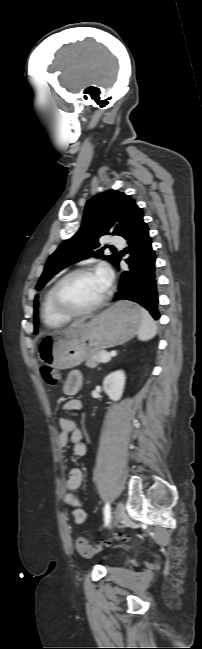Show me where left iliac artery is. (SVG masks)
Masks as SVG:
<instances>
[{"instance_id":"obj_1","label":"left iliac artery","mask_w":202,"mask_h":649,"mask_svg":"<svg viewBox=\"0 0 202 649\" xmlns=\"http://www.w3.org/2000/svg\"><path fill=\"white\" fill-rule=\"evenodd\" d=\"M111 518V510H110V505L107 502L105 507H104V525L107 526L110 522Z\"/></svg>"}]
</instances>
